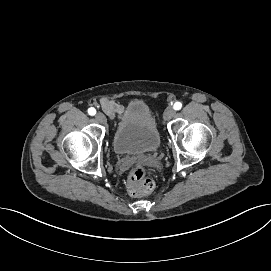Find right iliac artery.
I'll return each mask as SVG.
<instances>
[{
    "mask_svg": "<svg viewBox=\"0 0 271 271\" xmlns=\"http://www.w3.org/2000/svg\"><path fill=\"white\" fill-rule=\"evenodd\" d=\"M88 113H89V115L93 116L96 114V110L93 107H91L88 109Z\"/></svg>",
    "mask_w": 271,
    "mask_h": 271,
    "instance_id": "1",
    "label": "right iliac artery"
}]
</instances>
